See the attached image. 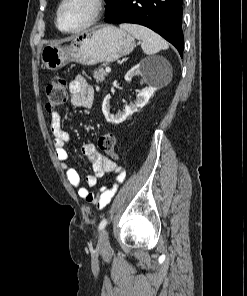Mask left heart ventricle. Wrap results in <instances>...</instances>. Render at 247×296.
<instances>
[{
  "label": "left heart ventricle",
  "mask_w": 247,
  "mask_h": 296,
  "mask_svg": "<svg viewBox=\"0 0 247 296\" xmlns=\"http://www.w3.org/2000/svg\"><path fill=\"white\" fill-rule=\"evenodd\" d=\"M92 6L88 0H70L62 9L60 25L63 29H75L90 17Z\"/></svg>",
  "instance_id": "left-heart-ventricle-1"
}]
</instances>
